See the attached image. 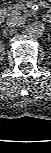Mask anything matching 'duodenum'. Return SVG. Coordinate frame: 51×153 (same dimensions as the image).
<instances>
[{
    "label": "duodenum",
    "instance_id": "410a0bca",
    "mask_svg": "<svg viewBox=\"0 0 51 153\" xmlns=\"http://www.w3.org/2000/svg\"><path fill=\"white\" fill-rule=\"evenodd\" d=\"M6 19V12L4 10L0 11V21L3 22Z\"/></svg>",
    "mask_w": 51,
    "mask_h": 153
}]
</instances>
